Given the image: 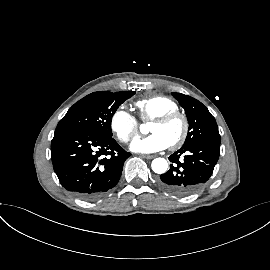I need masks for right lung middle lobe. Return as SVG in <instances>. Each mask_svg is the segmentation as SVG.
I'll return each mask as SVG.
<instances>
[{
	"instance_id": "obj_1",
	"label": "right lung middle lobe",
	"mask_w": 270,
	"mask_h": 270,
	"mask_svg": "<svg viewBox=\"0 0 270 270\" xmlns=\"http://www.w3.org/2000/svg\"><path fill=\"white\" fill-rule=\"evenodd\" d=\"M135 91L91 93L76 102L58 123L56 130L80 129L112 138L111 120L118 107Z\"/></svg>"
}]
</instances>
